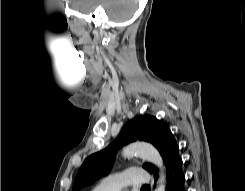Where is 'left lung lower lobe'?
<instances>
[{
	"label": "left lung lower lobe",
	"instance_id": "left-lung-lower-lobe-1",
	"mask_svg": "<svg viewBox=\"0 0 245 191\" xmlns=\"http://www.w3.org/2000/svg\"><path fill=\"white\" fill-rule=\"evenodd\" d=\"M182 164L183 162L179 155V148H177L170 157L169 161L165 164L167 173L166 191H185V176L183 173ZM154 175L157 179V171L154 173Z\"/></svg>",
	"mask_w": 245,
	"mask_h": 191
}]
</instances>
